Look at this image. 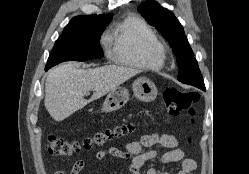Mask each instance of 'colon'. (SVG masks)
I'll return each instance as SVG.
<instances>
[{
    "label": "colon",
    "mask_w": 249,
    "mask_h": 174,
    "mask_svg": "<svg viewBox=\"0 0 249 174\" xmlns=\"http://www.w3.org/2000/svg\"><path fill=\"white\" fill-rule=\"evenodd\" d=\"M163 100L170 117H177L183 111H188L189 115L193 118L195 116L194 105L199 100V94L169 87L164 90ZM133 130L134 127L131 124H124L115 128L99 131L79 140H65L52 136L49 138L47 150L52 156L66 157L77 154L82 150H89L96 146H101L108 140L123 137L133 132Z\"/></svg>",
    "instance_id": "obj_1"
}]
</instances>
